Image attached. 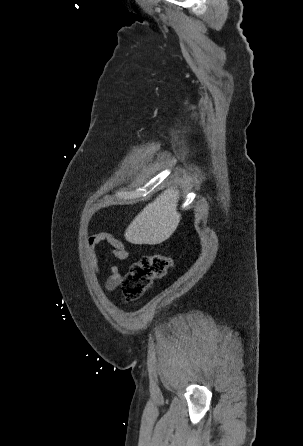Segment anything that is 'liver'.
<instances>
[{
	"label": "liver",
	"mask_w": 303,
	"mask_h": 446,
	"mask_svg": "<svg viewBox=\"0 0 303 446\" xmlns=\"http://www.w3.org/2000/svg\"><path fill=\"white\" fill-rule=\"evenodd\" d=\"M180 192L176 187L166 189L134 218L125 231V239L137 245H156L166 241L181 220L177 211Z\"/></svg>",
	"instance_id": "6515ba94"
}]
</instances>
